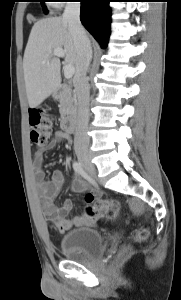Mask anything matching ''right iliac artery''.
Listing matches in <instances>:
<instances>
[{
	"label": "right iliac artery",
	"instance_id": "right-iliac-artery-1",
	"mask_svg": "<svg viewBox=\"0 0 181 300\" xmlns=\"http://www.w3.org/2000/svg\"><path fill=\"white\" fill-rule=\"evenodd\" d=\"M73 169L76 173L80 174V175H83L84 174V170H83V167L81 165L80 162L78 161H74L73 162Z\"/></svg>",
	"mask_w": 181,
	"mask_h": 300
}]
</instances>
